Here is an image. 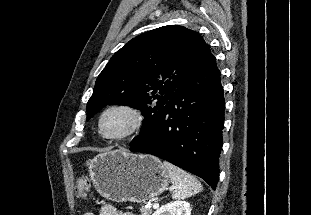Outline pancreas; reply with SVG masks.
Listing matches in <instances>:
<instances>
[{"mask_svg":"<svg viewBox=\"0 0 311 215\" xmlns=\"http://www.w3.org/2000/svg\"><path fill=\"white\" fill-rule=\"evenodd\" d=\"M140 212H141V215H150L152 213V209L142 206L140 208Z\"/></svg>","mask_w":311,"mask_h":215,"instance_id":"pancreas-1","label":"pancreas"}]
</instances>
